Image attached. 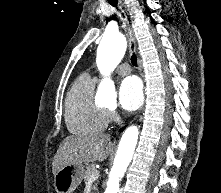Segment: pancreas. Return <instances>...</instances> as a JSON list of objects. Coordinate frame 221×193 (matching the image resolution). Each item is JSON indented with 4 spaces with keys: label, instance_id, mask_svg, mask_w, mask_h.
I'll return each mask as SVG.
<instances>
[{
    "label": "pancreas",
    "instance_id": "obj_1",
    "mask_svg": "<svg viewBox=\"0 0 221 193\" xmlns=\"http://www.w3.org/2000/svg\"><path fill=\"white\" fill-rule=\"evenodd\" d=\"M95 171H97V170H96V168H95V166H94L93 164L88 165V166L86 167V170H85L84 176H83L84 181H85V184L91 185L93 189H96L97 183H95V180H94V181H91V180H90V177H91V175H92Z\"/></svg>",
    "mask_w": 221,
    "mask_h": 193
}]
</instances>
